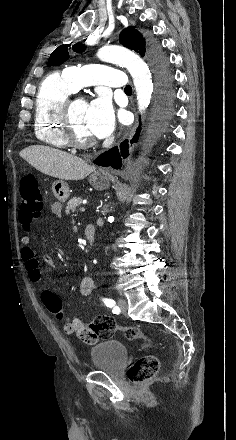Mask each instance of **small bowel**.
I'll use <instances>...</instances> for the list:
<instances>
[{
  "instance_id": "1",
  "label": "small bowel",
  "mask_w": 236,
  "mask_h": 440,
  "mask_svg": "<svg viewBox=\"0 0 236 440\" xmlns=\"http://www.w3.org/2000/svg\"><path fill=\"white\" fill-rule=\"evenodd\" d=\"M51 211L55 215L60 216L62 212V204L59 201L53 202L51 205ZM21 245H22L21 256L23 261L25 262V266L28 271L29 277L33 282L38 283L41 281L42 271L40 269L37 254L31 247L30 237L24 236L21 239ZM44 261L47 264L51 263V259L49 257H45ZM93 288H94L93 278L91 276H84L80 283V289H79L80 295L83 297L88 296L92 292ZM45 292L47 291L42 292V301H43V294ZM63 330L66 334L75 333V337L77 339H93L95 335L93 330H89L88 324L80 320L79 318H74V319L67 318ZM86 342L92 344L95 343L96 340H88Z\"/></svg>"
}]
</instances>
